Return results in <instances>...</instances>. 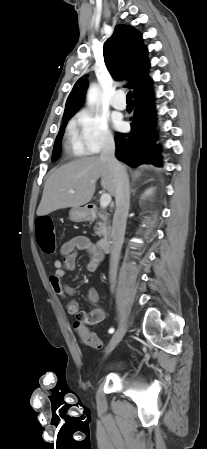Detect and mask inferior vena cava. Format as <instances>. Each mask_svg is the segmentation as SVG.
Returning a JSON list of instances; mask_svg holds the SVG:
<instances>
[{
	"mask_svg": "<svg viewBox=\"0 0 207 449\" xmlns=\"http://www.w3.org/2000/svg\"><path fill=\"white\" fill-rule=\"evenodd\" d=\"M100 158L107 161L111 167L116 182V210L113 216L111 232V254H110V283L112 287L116 283L119 256L124 240L126 219L130 205V184L124 166L115 158V142L112 137L106 138Z\"/></svg>",
	"mask_w": 207,
	"mask_h": 449,
	"instance_id": "inferior-vena-cava-1",
	"label": "inferior vena cava"
}]
</instances>
